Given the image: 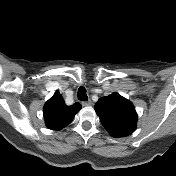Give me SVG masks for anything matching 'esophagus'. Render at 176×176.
<instances>
[{
  "label": "esophagus",
  "mask_w": 176,
  "mask_h": 176,
  "mask_svg": "<svg viewBox=\"0 0 176 176\" xmlns=\"http://www.w3.org/2000/svg\"><path fill=\"white\" fill-rule=\"evenodd\" d=\"M82 105H83V106H90V105H92V101H91V100L83 101V102H82Z\"/></svg>",
  "instance_id": "esophagus-1"
}]
</instances>
